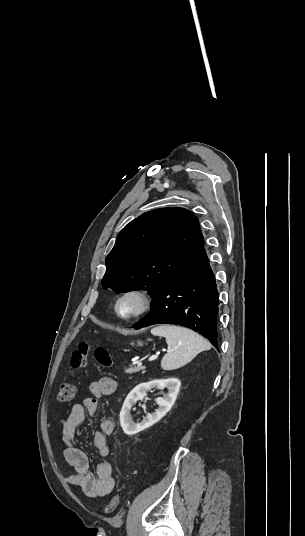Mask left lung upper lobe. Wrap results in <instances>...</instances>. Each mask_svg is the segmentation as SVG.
<instances>
[{
    "instance_id": "1",
    "label": "left lung upper lobe",
    "mask_w": 305,
    "mask_h": 536,
    "mask_svg": "<svg viewBox=\"0 0 305 536\" xmlns=\"http://www.w3.org/2000/svg\"><path fill=\"white\" fill-rule=\"evenodd\" d=\"M204 249L199 221L183 208L146 212L118 234L105 259L102 286L115 292L145 289L154 297Z\"/></svg>"
}]
</instances>
